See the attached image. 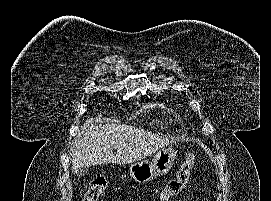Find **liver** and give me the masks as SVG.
<instances>
[{
    "label": "liver",
    "instance_id": "liver-1",
    "mask_svg": "<svg viewBox=\"0 0 271 201\" xmlns=\"http://www.w3.org/2000/svg\"><path fill=\"white\" fill-rule=\"evenodd\" d=\"M174 141L141 128L89 119L72 150L71 171L101 164H129L140 161ZM116 149L114 155L112 150Z\"/></svg>",
    "mask_w": 271,
    "mask_h": 201
}]
</instances>
